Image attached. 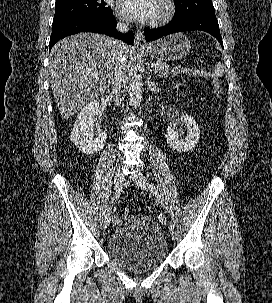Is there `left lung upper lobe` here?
Returning <instances> with one entry per match:
<instances>
[{"mask_svg": "<svg viewBox=\"0 0 272 303\" xmlns=\"http://www.w3.org/2000/svg\"><path fill=\"white\" fill-rule=\"evenodd\" d=\"M175 4L177 10L173 19L215 15L211 0H175Z\"/></svg>", "mask_w": 272, "mask_h": 303, "instance_id": "left-lung-upper-lobe-1", "label": "left lung upper lobe"}]
</instances>
